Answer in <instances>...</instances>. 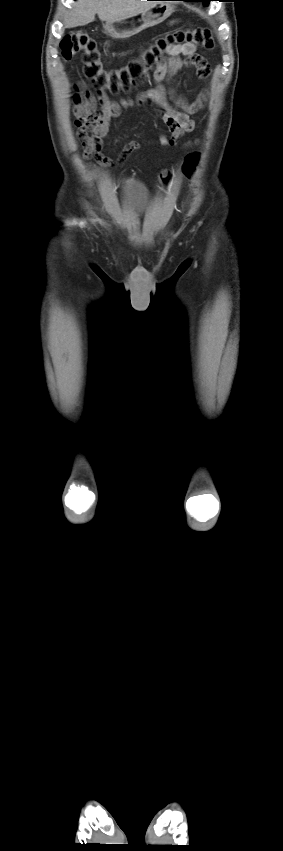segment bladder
Returning a JSON list of instances; mask_svg holds the SVG:
<instances>
[{"label": "bladder", "mask_w": 283, "mask_h": 851, "mask_svg": "<svg viewBox=\"0 0 283 851\" xmlns=\"http://www.w3.org/2000/svg\"><path fill=\"white\" fill-rule=\"evenodd\" d=\"M123 198L128 207L136 212L143 213L150 202V194L143 183L136 179H126L121 185Z\"/></svg>", "instance_id": "31cf9c89"}]
</instances>
